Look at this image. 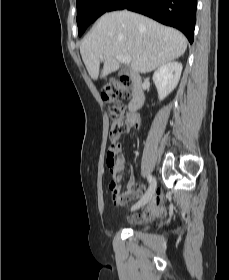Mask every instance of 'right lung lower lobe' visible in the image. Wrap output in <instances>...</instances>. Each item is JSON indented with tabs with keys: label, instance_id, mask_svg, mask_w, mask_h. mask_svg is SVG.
<instances>
[{
	"label": "right lung lower lobe",
	"instance_id": "98d812e1",
	"mask_svg": "<svg viewBox=\"0 0 229 280\" xmlns=\"http://www.w3.org/2000/svg\"><path fill=\"white\" fill-rule=\"evenodd\" d=\"M197 0H116L109 11L127 9L182 31L193 42Z\"/></svg>",
	"mask_w": 229,
	"mask_h": 280
}]
</instances>
